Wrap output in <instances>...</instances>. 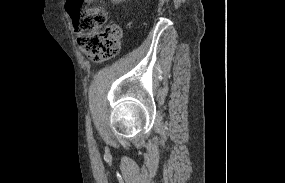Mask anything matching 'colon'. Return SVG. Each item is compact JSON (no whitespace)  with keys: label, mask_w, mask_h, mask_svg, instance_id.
Here are the masks:
<instances>
[{"label":"colon","mask_w":285,"mask_h":183,"mask_svg":"<svg viewBox=\"0 0 285 183\" xmlns=\"http://www.w3.org/2000/svg\"><path fill=\"white\" fill-rule=\"evenodd\" d=\"M89 0H67L66 12L79 35L81 50L93 60L116 56L120 50L121 28L112 24L104 29L107 14L101 6L88 7Z\"/></svg>","instance_id":"colon-1"}]
</instances>
